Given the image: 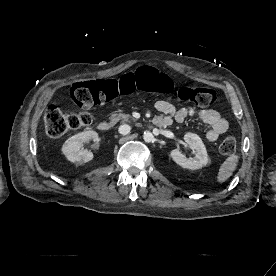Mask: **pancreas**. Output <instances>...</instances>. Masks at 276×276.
<instances>
[{"mask_svg": "<svg viewBox=\"0 0 276 276\" xmlns=\"http://www.w3.org/2000/svg\"><path fill=\"white\" fill-rule=\"evenodd\" d=\"M109 119L111 125H115L119 121H121L122 123L129 122L130 120L135 121V119L128 114H113Z\"/></svg>", "mask_w": 276, "mask_h": 276, "instance_id": "obj_1", "label": "pancreas"}]
</instances>
